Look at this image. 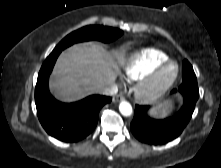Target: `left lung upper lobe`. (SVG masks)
<instances>
[{
  "mask_svg": "<svg viewBox=\"0 0 221 168\" xmlns=\"http://www.w3.org/2000/svg\"><path fill=\"white\" fill-rule=\"evenodd\" d=\"M182 77H183V80L191 79V78L196 79L194 70L191 64L187 60H184L182 64Z\"/></svg>",
  "mask_w": 221,
  "mask_h": 168,
  "instance_id": "left-lung-upper-lobe-1",
  "label": "left lung upper lobe"
}]
</instances>
